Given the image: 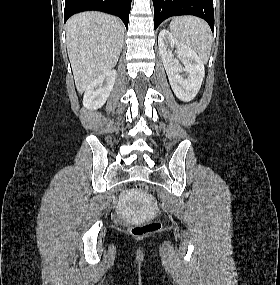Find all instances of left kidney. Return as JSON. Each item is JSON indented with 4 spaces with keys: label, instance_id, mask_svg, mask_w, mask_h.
Returning a JSON list of instances; mask_svg holds the SVG:
<instances>
[{
    "label": "left kidney",
    "instance_id": "obj_1",
    "mask_svg": "<svg viewBox=\"0 0 280 285\" xmlns=\"http://www.w3.org/2000/svg\"><path fill=\"white\" fill-rule=\"evenodd\" d=\"M158 46L176 97L185 102L192 100L197 95L205 74L200 57L165 29L159 33ZM179 60L183 62L184 67Z\"/></svg>",
    "mask_w": 280,
    "mask_h": 285
}]
</instances>
